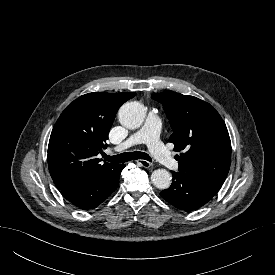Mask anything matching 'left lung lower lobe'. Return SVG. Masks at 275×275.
<instances>
[{"instance_id": "left-lung-lower-lobe-1", "label": "left lung lower lobe", "mask_w": 275, "mask_h": 275, "mask_svg": "<svg viewBox=\"0 0 275 275\" xmlns=\"http://www.w3.org/2000/svg\"><path fill=\"white\" fill-rule=\"evenodd\" d=\"M171 186L160 195L174 207L195 210L207 202L220 190V184L184 172H174Z\"/></svg>"}]
</instances>
